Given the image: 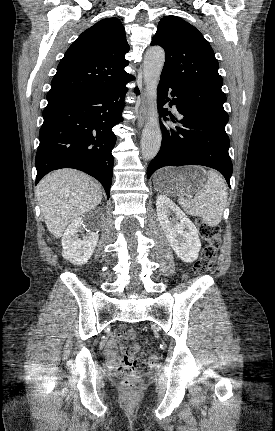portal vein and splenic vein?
Instances as JSON below:
<instances>
[{
    "label": "portal vein and splenic vein",
    "mask_w": 275,
    "mask_h": 431,
    "mask_svg": "<svg viewBox=\"0 0 275 431\" xmlns=\"http://www.w3.org/2000/svg\"><path fill=\"white\" fill-rule=\"evenodd\" d=\"M187 197H188L189 200H192V196L191 195H188Z\"/></svg>",
    "instance_id": "18ae733b"
}]
</instances>
